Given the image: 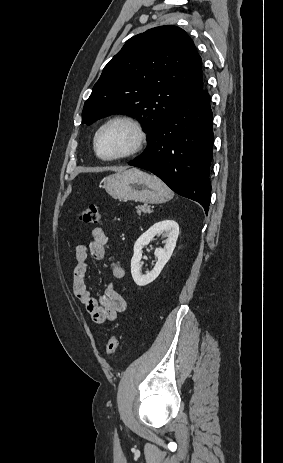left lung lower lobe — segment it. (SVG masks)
<instances>
[{"label":"left lung lower lobe","instance_id":"0a47b994","mask_svg":"<svg viewBox=\"0 0 283 463\" xmlns=\"http://www.w3.org/2000/svg\"><path fill=\"white\" fill-rule=\"evenodd\" d=\"M212 151V111L209 94L201 88L159 125L144 153L129 164L152 172L177 194L199 202L207 213Z\"/></svg>","mask_w":283,"mask_h":463}]
</instances>
